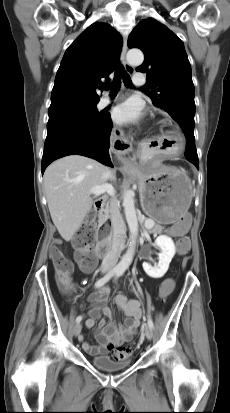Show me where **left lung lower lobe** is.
<instances>
[{
  "instance_id": "obj_1",
  "label": "left lung lower lobe",
  "mask_w": 230,
  "mask_h": 413,
  "mask_svg": "<svg viewBox=\"0 0 230 413\" xmlns=\"http://www.w3.org/2000/svg\"><path fill=\"white\" fill-rule=\"evenodd\" d=\"M185 137L187 140L185 157L189 162L193 163L197 167V169H199L198 155L195 147L194 131L187 130L185 132Z\"/></svg>"
}]
</instances>
